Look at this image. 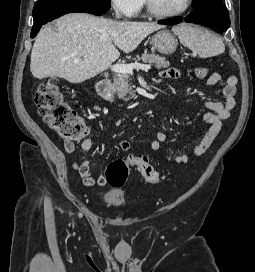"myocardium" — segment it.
<instances>
[{"label":"myocardium","instance_id":"myocardium-1","mask_svg":"<svg viewBox=\"0 0 255 272\" xmlns=\"http://www.w3.org/2000/svg\"><path fill=\"white\" fill-rule=\"evenodd\" d=\"M144 3H145L146 11L150 16L159 18V19H169V18H175V17L181 16L184 13H186L192 6L193 0H187L186 5L182 9L175 12L158 11L154 7L152 0H144Z\"/></svg>","mask_w":255,"mask_h":272}]
</instances>
